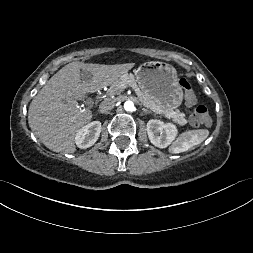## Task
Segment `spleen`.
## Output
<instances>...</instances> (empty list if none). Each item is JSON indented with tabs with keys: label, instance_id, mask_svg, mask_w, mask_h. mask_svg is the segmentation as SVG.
<instances>
[{
	"label": "spleen",
	"instance_id": "3e777b00",
	"mask_svg": "<svg viewBox=\"0 0 253 253\" xmlns=\"http://www.w3.org/2000/svg\"><path fill=\"white\" fill-rule=\"evenodd\" d=\"M209 135L207 129L187 130L183 132L170 146L169 152L178 154L188 151L201 144Z\"/></svg>",
	"mask_w": 253,
	"mask_h": 253
}]
</instances>
